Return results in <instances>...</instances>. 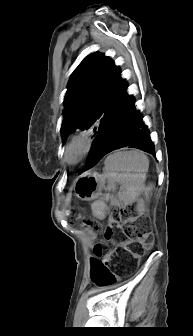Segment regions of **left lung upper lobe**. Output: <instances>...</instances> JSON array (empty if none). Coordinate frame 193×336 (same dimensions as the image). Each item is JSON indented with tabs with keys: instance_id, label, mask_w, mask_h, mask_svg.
Returning a JSON list of instances; mask_svg holds the SVG:
<instances>
[{
	"instance_id": "left-lung-upper-lobe-1",
	"label": "left lung upper lobe",
	"mask_w": 193,
	"mask_h": 336,
	"mask_svg": "<svg viewBox=\"0 0 193 336\" xmlns=\"http://www.w3.org/2000/svg\"><path fill=\"white\" fill-rule=\"evenodd\" d=\"M124 86L119 68L109 57L98 53L88 55L68 84L61 126L63 142L77 129L97 130Z\"/></svg>"
}]
</instances>
